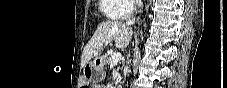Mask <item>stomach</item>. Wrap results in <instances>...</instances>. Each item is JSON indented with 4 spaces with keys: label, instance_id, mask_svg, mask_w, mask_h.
Returning <instances> with one entry per match:
<instances>
[{
    "label": "stomach",
    "instance_id": "stomach-1",
    "mask_svg": "<svg viewBox=\"0 0 227 88\" xmlns=\"http://www.w3.org/2000/svg\"><path fill=\"white\" fill-rule=\"evenodd\" d=\"M105 61L103 57H96L93 61L84 65V77L90 82H98L104 76L103 66Z\"/></svg>",
    "mask_w": 227,
    "mask_h": 88
}]
</instances>
